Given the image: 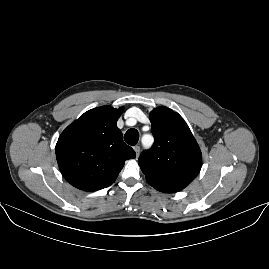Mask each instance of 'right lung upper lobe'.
<instances>
[{
    "instance_id": "right-lung-upper-lobe-1",
    "label": "right lung upper lobe",
    "mask_w": 269,
    "mask_h": 269,
    "mask_svg": "<svg viewBox=\"0 0 269 269\" xmlns=\"http://www.w3.org/2000/svg\"><path fill=\"white\" fill-rule=\"evenodd\" d=\"M122 110L110 106L91 109L60 135L56 158L72 186L88 192L105 188L115 182L125 161L135 158L116 125Z\"/></svg>"
}]
</instances>
